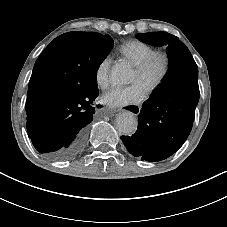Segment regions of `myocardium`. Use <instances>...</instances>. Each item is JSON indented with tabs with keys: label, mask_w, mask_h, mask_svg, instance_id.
Listing matches in <instances>:
<instances>
[{
	"label": "myocardium",
	"mask_w": 227,
	"mask_h": 227,
	"mask_svg": "<svg viewBox=\"0 0 227 227\" xmlns=\"http://www.w3.org/2000/svg\"><path fill=\"white\" fill-rule=\"evenodd\" d=\"M156 62L161 64L160 72L153 82L145 86L148 93H154L166 82L171 68L170 55L164 50H155L135 67V74L145 77Z\"/></svg>",
	"instance_id": "myocardium-1"
}]
</instances>
